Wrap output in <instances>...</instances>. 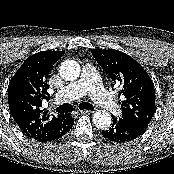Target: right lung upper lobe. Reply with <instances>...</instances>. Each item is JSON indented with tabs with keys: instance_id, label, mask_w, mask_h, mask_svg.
<instances>
[{
	"instance_id": "right-lung-upper-lobe-1",
	"label": "right lung upper lobe",
	"mask_w": 174,
	"mask_h": 174,
	"mask_svg": "<svg viewBox=\"0 0 174 174\" xmlns=\"http://www.w3.org/2000/svg\"><path fill=\"white\" fill-rule=\"evenodd\" d=\"M65 51H41L28 57L8 88L9 110L23 133L35 140L50 138L71 122L69 114L49 115L42 101L49 99L47 77Z\"/></svg>"
}]
</instances>
